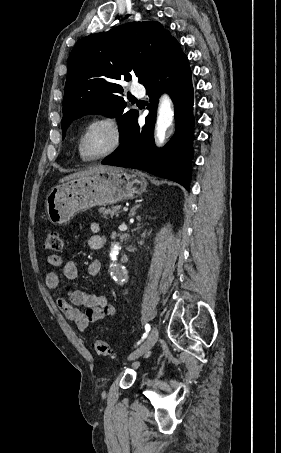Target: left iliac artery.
Instances as JSON below:
<instances>
[{
    "label": "left iliac artery",
    "mask_w": 281,
    "mask_h": 453,
    "mask_svg": "<svg viewBox=\"0 0 281 453\" xmlns=\"http://www.w3.org/2000/svg\"><path fill=\"white\" fill-rule=\"evenodd\" d=\"M145 330H146V333L143 334L142 339L146 338L147 337V333L150 331V325L149 324L145 325Z\"/></svg>",
    "instance_id": "1"
}]
</instances>
